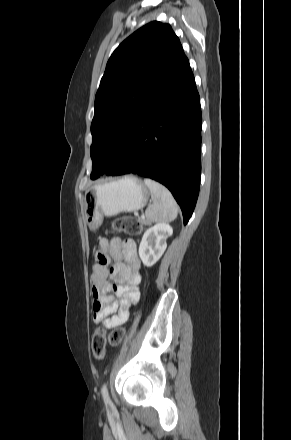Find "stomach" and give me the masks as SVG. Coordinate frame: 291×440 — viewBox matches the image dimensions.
Instances as JSON below:
<instances>
[{
    "label": "stomach",
    "instance_id": "obj_1",
    "mask_svg": "<svg viewBox=\"0 0 291 440\" xmlns=\"http://www.w3.org/2000/svg\"><path fill=\"white\" fill-rule=\"evenodd\" d=\"M150 192L141 179L128 175L89 187L83 198V212L91 229L102 223L103 216L142 209Z\"/></svg>",
    "mask_w": 291,
    "mask_h": 440
}]
</instances>
